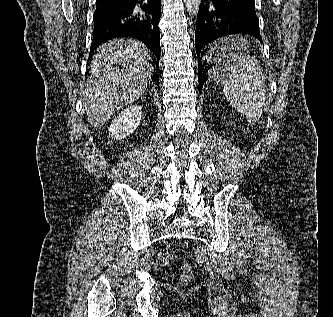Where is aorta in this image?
I'll return each instance as SVG.
<instances>
[{
	"label": "aorta",
	"mask_w": 333,
	"mask_h": 317,
	"mask_svg": "<svg viewBox=\"0 0 333 317\" xmlns=\"http://www.w3.org/2000/svg\"><path fill=\"white\" fill-rule=\"evenodd\" d=\"M184 3L189 15L196 16L198 14L201 0H184Z\"/></svg>",
	"instance_id": "762f6f07"
}]
</instances>
